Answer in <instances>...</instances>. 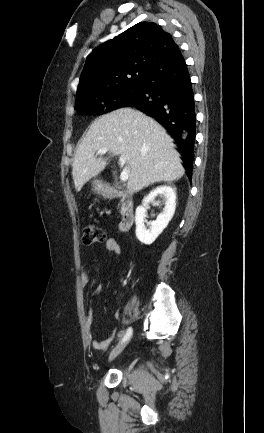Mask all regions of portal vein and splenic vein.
<instances>
[{"label": "portal vein and splenic vein", "mask_w": 264, "mask_h": 433, "mask_svg": "<svg viewBox=\"0 0 264 433\" xmlns=\"http://www.w3.org/2000/svg\"><path fill=\"white\" fill-rule=\"evenodd\" d=\"M108 151H109V150L106 149V148L99 149V150L97 151V155H103V154H106ZM119 163H120V166L123 167V166L125 165V163H126V157H124V156H120V158H119ZM128 177H129V169H128L127 167H125V168L122 170L121 174H120V180H121L122 182H126V181L128 180Z\"/></svg>", "instance_id": "1"}]
</instances>
